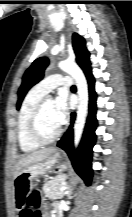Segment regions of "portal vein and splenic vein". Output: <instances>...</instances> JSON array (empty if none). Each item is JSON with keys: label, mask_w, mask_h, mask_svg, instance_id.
Returning <instances> with one entry per match:
<instances>
[{"label": "portal vein and splenic vein", "mask_w": 132, "mask_h": 217, "mask_svg": "<svg viewBox=\"0 0 132 217\" xmlns=\"http://www.w3.org/2000/svg\"><path fill=\"white\" fill-rule=\"evenodd\" d=\"M66 189H68V187L63 184V186L60 188V191H65Z\"/></svg>", "instance_id": "1"}]
</instances>
